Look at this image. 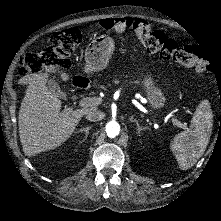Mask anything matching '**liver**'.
I'll use <instances>...</instances> for the list:
<instances>
[{"instance_id":"1","label":"liver","mask_w":221,"mask_h":221,"mask_svg":"<svg viewBox=\"0 0 221 221\" xmlns=\"http://www.w3.org/2000/svg\"><path fill=\"white\" fill-rule=\"evenodd\" d=\"M24 84L26 90L18 113L19 135L24 153L34 155L66 140L91 107L61 111V101L47 90L45 74L33 75Z\"/></svg>"}]
</instances>
